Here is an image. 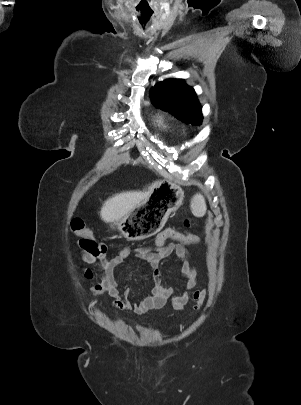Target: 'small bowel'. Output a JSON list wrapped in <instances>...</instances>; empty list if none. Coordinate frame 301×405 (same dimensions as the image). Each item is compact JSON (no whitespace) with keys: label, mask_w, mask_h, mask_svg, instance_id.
I'll return each mask as SVG.
<instances>
[{"label":"small bowel","mask_w":301,"mask_h":405,"mask_svg":"<svg viewBox=\"0 0 301 405\" xmlns=\"http://www.w3.org/2000/svg\"><path fill=\"white\" fill-rule=\"evenodd\" d=\"M170 240L171 242L167 243ZM156 247L154 250L148 249H131L124 248L116 256L107 259L104 252L99 255H94L89 251L81 240L78 244L81 250V256L90 264H95L101 272V281L90 289L93 295L108 294L114 298L113 307L119 310H124L129 306L128 291L121 294L120 287L116 281L113 269L123 263L133 253L135 257L148 263L152 270L153 285L150 293L139 300L135 305V312L144 314L148 311L162 307L168 300L171 306L178 312L184 310L185 305L189 300L194 302L193 311L198 310L205 299V290L196 288L195 270L190 260V253L186 247H181L179 243H174L173 238L165 234L164 231L156 237ZM101 248L105 246L99 244ZM175 254L180 265L182 278L186 281V289L176 295V286H166L162 282V274L160 271V263L170 255ZM87 278L92 277L91 270L85 271Z\"/></svg>","instance_id":"obj_1"}]
</instances>
